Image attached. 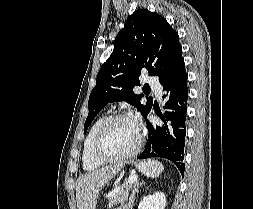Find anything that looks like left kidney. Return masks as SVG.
<instances>
[{
    "label": "left kidney",
    "mask_w": 253,
    "mask_h": 209,
    "mask_svg": "<svg viewBox=\"0 0 253 209\" xmlns=\"http://www.w3.org/2000/svg\"><path fill=\"white\" fill-rule=\"evenodd\" d=\"M166 196L163 192L145 196L139 203L138 209H165Z\"/></svg>",
    "instance_id": "5707ae66"
}]
</instances>
